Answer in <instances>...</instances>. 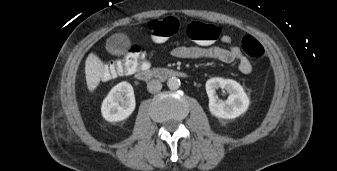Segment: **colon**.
<instances>
[{"instance_id": "1", "label": "colon", "mask_w": 337, "mask_h": 171, "mask_svg": "<svg viewBox=\"0 0 337 171\" xmlns=\"http://www.w3.org/2000/svg\"><path fill=\"white\" fill-rule=\"evenodd\" d=\"M149 40L154 45H162L167 38L175 35L179 30L178 20L174 17L154 19L148 24ZM187 36L199 44H211L220 36V28L213 24L199 21L191 22L187 27ZM243 51L252 59H264L265 52L262 44L252 35H245L241 40ZM146 53L140 46H131L123 56L112 59L103 70L104 79L119 76H129L146 67Z\"/></svg>"}]
</instances>
